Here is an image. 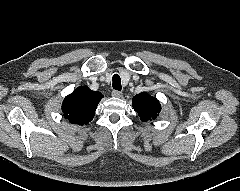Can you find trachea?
Listing matches in <instances>:
<instances>
[{
  "label": "trachea",
  "instance_id": "3493384b",
  "mask_svg": "<svg viewBox=\"0 0 240 191\" xmlns=\"http://www.w3.org/2000/svg\"><path fill=\"white\" fill-rule=\"evenodd\" d=\"M113 89L120 91L122 89L121 79L118 74L113 75Z\"/></svg>",
  "mask_w": 240,
  "mask_h": 191
}]
</instances>
